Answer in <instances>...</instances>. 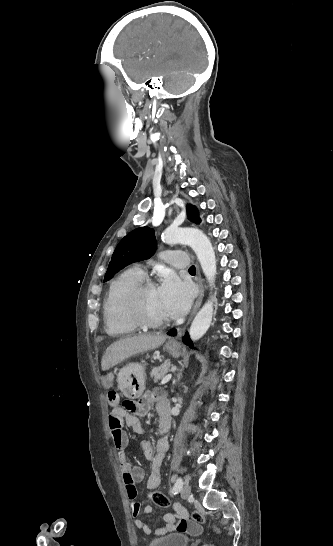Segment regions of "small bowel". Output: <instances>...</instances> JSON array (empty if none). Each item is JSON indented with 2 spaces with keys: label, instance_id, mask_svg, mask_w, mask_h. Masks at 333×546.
<instances>
[{
  "label": "small bowel",
  "instance_id": "obj_1",
  "mask_svg": "<svg viewBox=\"0 0 333 546\" xmlns=\"http://www.w3.org/2000/svg\"><path fill=\"white\" fill-rule=\"evenodd\" d=\"M111 372L109 371L102 381V386L105 389H110L113 386ZM156 406L159 415V439L156 447L148 439H141L139 446L147 460L151 461L150 474L147 480V487L154 489L161 484V464L168 450L169 443L167 433L170 427L169 417V405L166 397L162 394L148 391L142 398L133 404L132 408L126 406V408L114 407L108 416V426L110 434L115 448L119 452L120 471L122 474L124 486L127 492L128 498L131 500V509L134 516L138 515L141 510L140 503L136 502L137 489L136 483L140 482L144 478V471L141 467L131 465L124 454V449L127 445V436L123 430V425L131 427L132 430L141 434L143 427L139 417L145 415L148 410L153 406ZM131 412V413H130ZM151 506H145L143 512L145 514L152 513ZM175 514H165L164 524L155 530L158 535L171 532L177 528L178 531H185L188 527L190 529H196L197 525L188 523L187 511L179 505L174 506ZM135 526L141 529L144 533L149 534L151 532L150 527L144 523L141 519L135 520Z\"/></svg>",
  "mask_w": 333,
  "mask_h": 546
}]
</instances>
